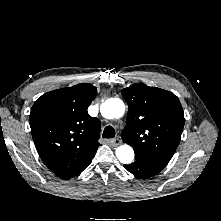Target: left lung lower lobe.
Returning a JSON list of instances; mask_svg holds the SVG:
<instances>
[{
	"label": "left lung lower lobe",
	"instance_id": "obj_1",
	"mask_svg": "<svg viewBox=\"0 0 221 221\" xmlns=\"http://www.w3.org/2000/svg\"><path fill=\"white\" fill-rule=\"evenodd\" d=\"M135 157V162L129 165H124V168L140 179L153 177L168 163L164 160L142 156L137 153H135Z\"/></svg>",
	"mask_w": 221,
	"mask_h": 221
}]
</instances>
